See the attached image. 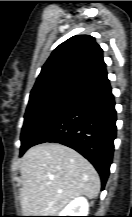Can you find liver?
Masks as SVG:
<instances>
[{
    "label": "liver",
    "mask_w": 132,
    "mask_h": 217,
    "mask_svg": "<svg viewBox=\"0 0 132 217\" xmlns=\"http://www.w3.org/2000/svg\"><path fill=\"white\" fill-rule=\"evenodd\" d=\"M20 172L24 216H57L72 199H93L100 191V178L92 164L59 143H44L27 150Z\"/></svg>",
    "instance_id": "liver-1"
}]
</instances>
